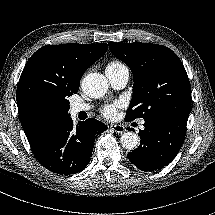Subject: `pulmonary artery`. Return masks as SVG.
<instances>
[{"instance_id":"obj_1","label":"pulmonary artery","mask_w":215,"mask_h":215,"mask_svg":"<svg viewBox=\"0 0 215 215\" xmlns=\"http://www.w3.org/2000/svg\"><path fill=\"white\" fill-rule=\"evenodd\" d=\"M106 74H107V77L109 78L111 84L116 88L124 87L129 80V70L127 68L122 69L115 73H110V72L106 71ZM89 108L90 107L86 104L76 103L71 106L70 112L72 114H78L82 111L89 110ZM141 127L143 128V126H141Z\"/></svg>"}]
</instances>
